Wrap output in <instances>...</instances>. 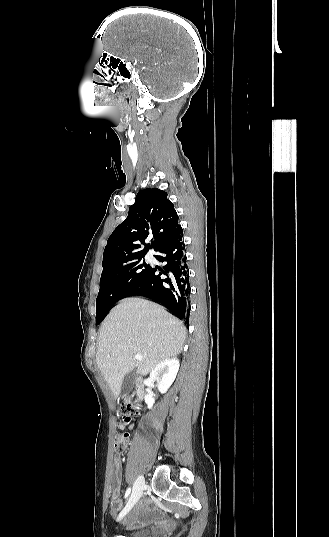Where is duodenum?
Returning <instances> with one entry per match:
<instances>
[{"label": "duodenum", "mask_w": 329, "mask_h": 537, "mask_svg": "<svg viewBox=\"0 0 329 537\" xmlns=\"http://www.w3.org/2000/svg\"><path fill=\"white\" fill-rule=\"evenodd\" d=\"M135 388H136V402L138 406H140L143 397H144V383L141 378H136L135 380Z\"/></svg>", "instance_id": "duodenum-1"}]
</instances>
